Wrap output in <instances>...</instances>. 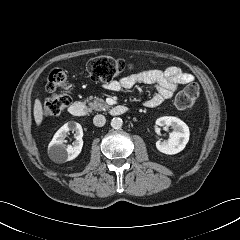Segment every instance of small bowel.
Returning a JSON list of instances; mask_svg holds the SVG:
<instances>
[{
  "mask_svg": "<svg viewBox=\"0 0 240 240\" xmlns=\"http://www.w3.org/2000/svg\"><path fill=\"white\" fill-rule=\"evenodd\" d=\"M193 81L192 74L184 72L179 67L172 66L165 70H145L132 73L119 80L112 81L104 87L109 91H120L133 88L138 84L154 85L156 93L146 100L144 105L147 108H155L170 99L178 85H187Z\"/></svg>",
  "mask_w": 240,
  "mask_h": 240,
  "instance_id": "obj_1",
  "label": "small bowel"
}]
</instances>
